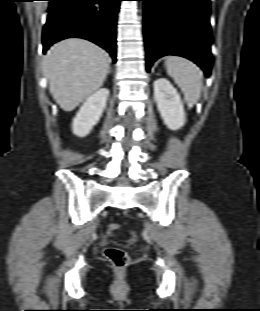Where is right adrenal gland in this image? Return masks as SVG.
Listing matches in <instances>:
<instances>
[{"instance_id":"right-adrenal-gland-1","label":"right adrenal gland","mask_w":260,"mask_h":311,"mask_svg":"<svg viewBox=\"0 0 260 311\" xmlns=\"http://www.w3.org/2000/svg\"><path fill=\"white\" fill-rule=\"evenodd\" d=\"M111 72V68L109 67V69H108V73H110Z\"/></svg>"}]
</instances>
